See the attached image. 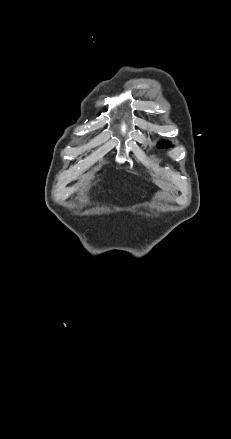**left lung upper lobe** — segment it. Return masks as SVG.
<instances>
[{"mask_svg":"<svg viewBox=\"0 0 231 439\" xmlns=\"http://www.w3.org/2000/svg\"><path fill=\"white\" fill-rule=\"evenodd\" d=\"M157 146L158 147H168V146H171V142H168V141H163V140H161L158 144H157Z\"/></svg>","mask_w":231,"mask_h":439,"instance_id":"obj_1","label":"left lung upper lobe"}]
</instances>
